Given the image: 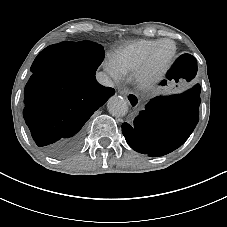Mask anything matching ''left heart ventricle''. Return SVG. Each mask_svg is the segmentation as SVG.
Here are the masks:
<instances>
[{"label": "left heart ventricle", "mask_w": 227, "mask_h": 227, "mask_svg": "<svg viewBox=\"0 0 227 227\" xmlns=\"http://www.w3.org/2000/svg\"><path fill=\"white\" fill-rule=\"evenodd\" d=\"M173 51V46L169 43L163 45L161 52H160V57L161 59H165L168 57Z\"/></svg>", "instance_id": "1"}]
</instances>
